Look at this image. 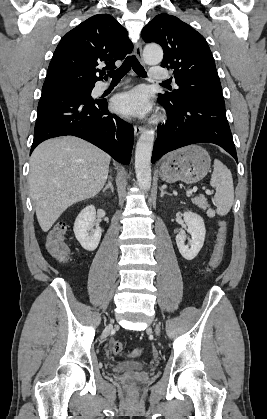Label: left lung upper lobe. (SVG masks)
Wrapping results in <instances>:
<instances>
[{
	"label": "left lung upper lobe",
	"instance_id": "1",
	"mask_svg": "<svg viewBox=\"0 0 267 419\" xmlns=\"http://www.w3.org/2000/svg\"><path fill=\"white\" fill-rule=\"evenodd\" d=\"M145 42H155L164 51L162 67L173 70L178 89L158 95V100L180 104L204 94L222 96L213 55L205 38L179 18L159 14L142 30Z\"/></svg>",
	"mask_w": 267,
	"mask_h": 419
}]
</instances>
